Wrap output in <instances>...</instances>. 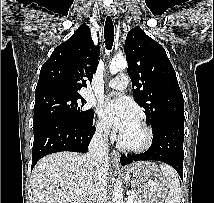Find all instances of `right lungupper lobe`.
<instances>
[{"label":"right lung upper lobe","mask_w":214,"mask_h":203,"mask_svg":"<svg viewBox=\"0 0 214 203\" xmlns=\"http://www.w3.org/2000/svg\"><path fill=\"white\" fill-rule=\"evenodd\" d=\"M100 54L89 27L82 24L65 42L57 46L40 71L35 98L52 93H79L92 81Z\"/></svg>","instance_id":"1"}]
</instances>
